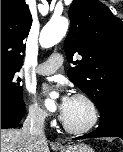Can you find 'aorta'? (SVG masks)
Masks as SVG:
<instances>
[{"label": "aorta", "instance_id": "aorta-1", "mask_svg": "<svg viewBox=\"0 0 123 152\" xmlns=\"http://www.w3.org/2000/svg\"><path fill=\"white\" fill-rule=\"evenodd\" d=\"M69 22L65 17L52 18L42 29L40 34V45L50 48L62 40L68 30ZM45 105L48 108L54 106L52 99H47Z\"/></svg>", "mask_w": 123, "mask_h": 152}]
</instances>
